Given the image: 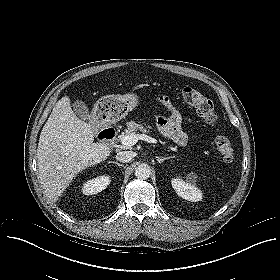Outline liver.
I'll return each instance as SVG.
<instances>
[{"mask_svg":"<svg viewBox=\"0 0 280 280\" xmlns=\"http://www.w3.org/2000/svg\"><path fill=\"white\" fill-rule=\"evenodd\" d=\"M104 143H94L92 128L73 112L68 96L54 106L40 134L37 166L40 182L54 202L82 170L110 155Z\"/></svg>","mask_w":280,"mask_h":280,"instance_id":"liver-1","label":"liver"}]
</instances>
